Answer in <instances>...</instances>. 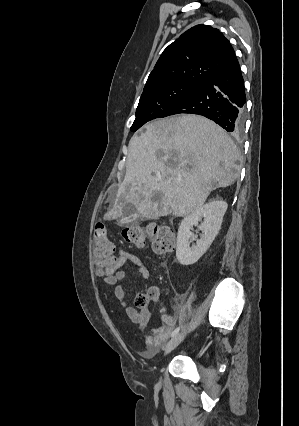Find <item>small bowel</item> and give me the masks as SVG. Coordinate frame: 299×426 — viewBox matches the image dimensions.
I'll use <instances>...</instances> for the list:
<instances>
[{"mask_svg": "<svg viewBox=\"0 0 299 426\" xmlns=\"http://www.w3.org/2000/svg\"><path fill=\"white\" fill-rule=\"evenodd\" d=\"M115 253L117 256L115 257L114 263L110 266L104 265L99 258H95V274L97 277L102 279L104 284L115 287V296L124 309L127 317L131 320L132 323L136 324L139 329L144 330L150 321L151 313L147 307H143L140 310H136L135 308L131 307L128 304L125 289L120 284V282L126 276V273L122 270V267L127 263L134 265L138 274L144 279L150 278V271L143 260L137 255L121 249H115ZM148 294L153 302L160 304L163 323L152 329L149 335L146 337L145 349L141 352V354L146 358L153 357L162 347V345L167 340L176 320L175 316L172 317L167 314L164 305L161 303L160 290L158 287H149Z\"/></svg>", "mask_w": 299, "mask_h": 426, "instance_id": "c3829d8e", "label": "small bowel"}]
</instances>
